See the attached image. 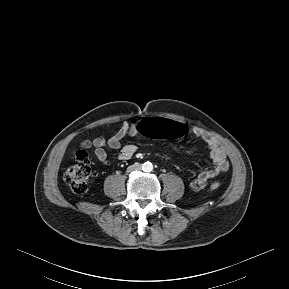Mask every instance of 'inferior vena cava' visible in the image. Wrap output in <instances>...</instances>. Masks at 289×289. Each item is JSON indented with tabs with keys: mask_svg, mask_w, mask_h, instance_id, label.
Here are the masks:
<instances>
[{
	"mask_svg": "<svg viewBox=\"0 0 289 289\" xmlns=\"http://www.w3.org/2000/svg\"><path fill=\"white\" fill-rule=\"evenodd\" d=\"M141 166L138 164L131 165L127 168V172L140 171Z\"/></svg>",
	"mask_w": 289,
	"mask_h": 289,
	"instance_id": "obj_1",
	"label": "inferior vena cava"
}]
</instances>
